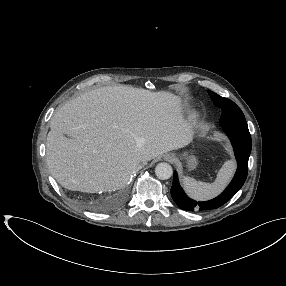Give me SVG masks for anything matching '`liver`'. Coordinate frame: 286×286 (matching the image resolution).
Segmentation results:
<instances>
[{
  "instance_id": "liver-1",
  "label": "liver",
  "mask_w": 286,
  "mask_h": 286,
  "mask_svg": "<svg viewBox=\"0 0 286 286\" xmlns=\"http://www.w3.org/2000/svg\"><path fill=\"white\" fill-rule=\"evenodd\" d=\"M50 128L52 176L66 189L97 193L125 187L138 164L187 146L194 117L184 119L173 93L107 86L57 109Z\"/></svg>"
}]
</instances>
